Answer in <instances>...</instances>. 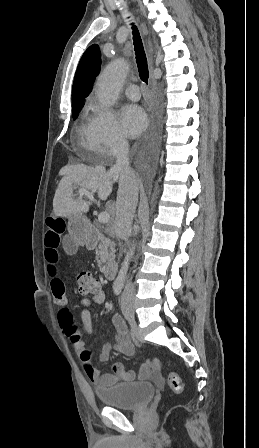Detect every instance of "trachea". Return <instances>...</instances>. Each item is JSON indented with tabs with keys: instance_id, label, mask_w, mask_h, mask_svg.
Here are the masks:
<instances>
[{
	"instance_id": "trachea-1",
	"label": "trachea",
	"mask_w": 259,
	"mask_h": 448,
	"mask_svg": "<svg viewBox=\"0 0 259 448\" xmlns=\"http://www.w3.org/2000/svg\"><path fill=\"white\" fill-rule=\"evenodd\" d=\"M132 30H133V41H134V50L136 55V62L137 67L139 71L140 79L148 83L149 78V71H148V63L146 54L144 51L143 43L139 34V31L137 30V27L132 24Z\"/></svg>"
}]
</instances>
